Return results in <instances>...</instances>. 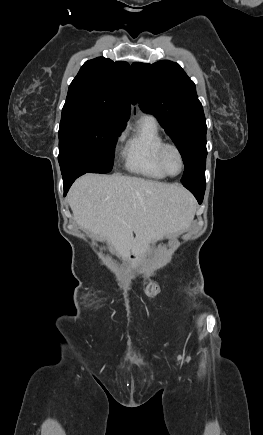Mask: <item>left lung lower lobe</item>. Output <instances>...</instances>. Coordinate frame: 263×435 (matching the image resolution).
Wrapping results in <instances>:
<instances>
[{"label":"left lung lower lobe","instance_id":"obj_1","mask_svg":"<svg viewBox=\"0 0 263 435\" xmlns=\"http://www.w3.org/2000/svg\"><path fill=\"white\" fill-rule=\"evenodd\" d=\"M183 186L193 193L199 204L202 203L206 187L205 176L198 180L183 183Z\"/></svg>","mask_w":263,"mask_h":435}]
</instances>
